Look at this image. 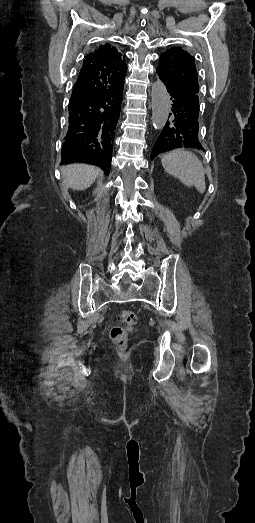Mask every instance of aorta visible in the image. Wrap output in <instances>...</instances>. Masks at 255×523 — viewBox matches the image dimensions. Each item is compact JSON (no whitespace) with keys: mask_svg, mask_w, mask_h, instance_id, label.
Returning a JSON list of instances; mask_svg holds the SVG:
<instances>
[{"mask_svg":"<svg viewBox=\"0 0 255 523\" xmlns=\"http://www.w3.org/2000/svg\"><path fill=\"white\" fill-rule=\"evenodd\" d=\"M151 99L152 124L156 130H161L168 118L170 100L166 87L160 80L151 85Z\"/></svg>","mask_w":255,"mask_h":523,"instance_id":"1","label":"aorta"}]
</instances>
